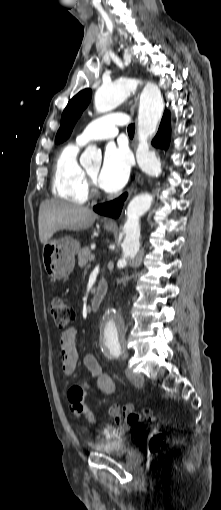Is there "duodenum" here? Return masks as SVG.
I'll list each match as a JSON object with an SVG mask.
<instances>
[{
    "label": "duodenum",
    "instance_id": "obj_1",
    "mask_svg": "<svg viewBox=\"0 0 221 510\" xmlns=\"http://www.w3.org/2000/svg\"><path fill=\"white\" fill-rule=\"evenodd\" d=\"M107 287L104 281H100L97 285L95 293L92 295L89 306L92 311L97 310L106 294Z\"/></svg>",
    "mask_w": 221,
    "mask_h": 510
}]
</instances>
